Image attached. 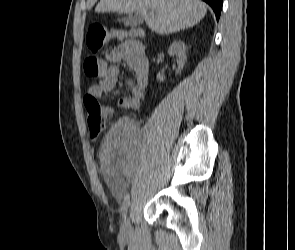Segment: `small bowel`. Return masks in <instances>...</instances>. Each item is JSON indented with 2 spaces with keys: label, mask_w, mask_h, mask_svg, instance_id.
<instances>
[{
  "label": "small bowel",
  "mask_w": 295,
  "mask_h": 250,
  "mask_svg": "<svg viewBox=\"0 0 295 250\" xmlns=\"http://www.w3.org/2000/svg\"><path fill=\"white\" fill-rule=\"evenodd\" d=\"M111 66L103 64V70L97 84L90 87L88 95L95 99L114 89L119 76L117 64L126 62L134 72V79L129 81L131 96L121 97L118 105L129 110L140 108L149 83V65L138 41L127 40L113 48L106 56ZM108 113L111 107L105 106ZM139 135L136 126L128 119L117 121L107 133L101 150V168L107 184L115 193H121L127 180L133 173L134 163L138 155Z\"/></svg>",
  "instance_id": "1"
}]
</instances>
